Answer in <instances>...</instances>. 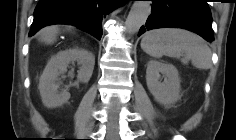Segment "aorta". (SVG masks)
Here are the masks:
<instances>
[{"label": "aorta", "mask_w": 236, "mask_h": 140, "mask_svg": "<svg viewBox=\"0 0 236 140\" xmlns=\"http://www.w3.org/2000/svg\"><path fill=\"white\" fill-rule=\"evenodd\" d=\"M151 10L150 1H134L125 22L126 32L133 35L146 22Z\"/></svg>", "instance_id": "obj_1"}]
</instances>
